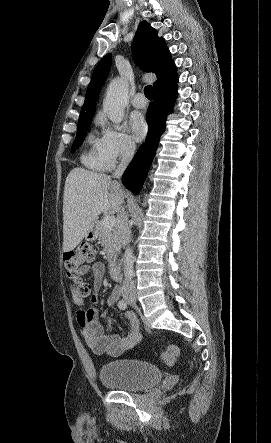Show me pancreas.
<instances>
[{"label":"pancreas","mask_w":271,"mask_h":443,"mask_svg":"<svg viewBox=\"0 0 271 443\" xmlns=\"http://www.w3.org/2000/svg\"><path fill=\"white\" fill-rule=\"evenodd\" d=\"M99 231V237L101 245H103L105 251H107V259H112L114 255H117V251H120L121 243L118 237V233L113 229H106L103 223L97 222Z\"/></svg>","instance_id":"obj_1"}]
</instances>
